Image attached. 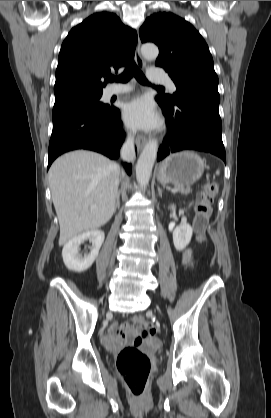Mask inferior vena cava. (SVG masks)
Wrapping results in <instances>:
<instances>
[{"instance_id":"1","label":"inferior vena cava","mask_w":271,"mask_h":418,"mask_svg":"<svg viewBox=\"0 0 271 418\" xmlns=\"http://www.w3.org/2000/svg\"><path fill=\"white\" fill-rule=\"evenodd\" d=\"M120 155H121V158L127 162H130L135 158L133 135H129L125 143L122 145Z\"/></svg>"}]
</instances>
